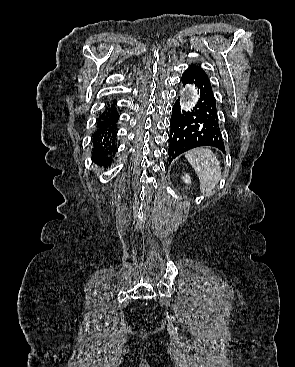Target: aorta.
Segmentation results:
<instances>
[{"instance_id":"obj_1","label":"aorta","mask_w":295,"mask_h":367,"mask_svg":"<svg viewBox=\"0 0 295 367\" xmlns=\"http://www.w3.org/2000/svg\"><path fill=\"white\" fill-rule=\"evenodd\" d=\"M198 99L197 89L194 86H189L186 91V102L187 105L194 104Z\"/></svg>"}]
</instances>
